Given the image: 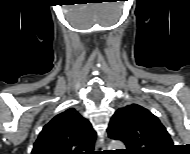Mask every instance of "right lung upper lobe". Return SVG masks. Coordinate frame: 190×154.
I'll return each mask as SVG.
<instances>
[{"label": "right lung upper lobe", "mask_w": 190, "mask_h": 154, "mask_svg": "<svg viewBox=\"0 0 190 154\" xmlns=\"http://www.w3.org/2000/svg\"><path fill=\"white\" fill-rule=\"evenodd\" d=\"M95 138L91 123L69 108L44 126L31 154H87L93 151Z\"/></svg>", "instance_id": "cb5924a9"}]
</instances>
